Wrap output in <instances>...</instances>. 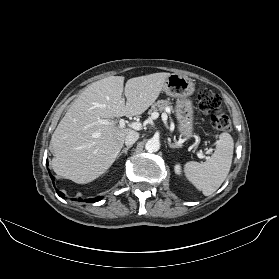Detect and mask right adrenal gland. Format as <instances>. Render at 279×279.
Masks as SVG:
<instances>
[{
	"mask_svg": "<svg viewBox=\"0 0 279 279\" xmlns=\"http://www.w3.org/2000/svg\"><path fill=\"white\" fill-rule=\"evenodd\" d=\"M132 146H127L125 148L122 149V151L118 154L117 156V159H119V157L122 155V154H127V151L131 148Z\"/></svg>",
	"mask_w": 279,
	"mask_h": 279,
	"instance_id": "1",
	"label": "right adrenal gland"
}]
</instances>
